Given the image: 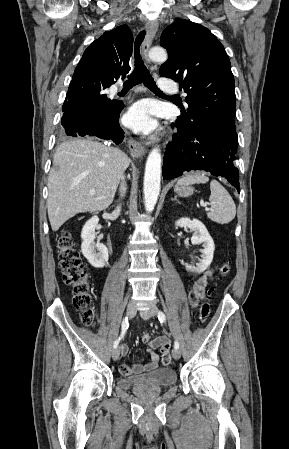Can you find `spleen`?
I'll use <instances>...</instances> for the list:
<instances>
[{
	"label": "spleen",
	"mask_w": 289,
	"mask_h": 449,
	"mask_svg": "<svg viewBox=\"0 0 289 449\" xmlns=\"http://www.w3.org/2000/svg\"><path fill=\"white\" fill-rule=\"evenodd\" d=\"M208 181L209 178L203 173H192L179 179L177 184H204ZM210 190L211 195L209 197V201L211 208L210 211L207 212L208 218L219 224H227L231 222L236 215V206L232 197L228 191L214 179L210 182Z\"/></svg>",
	"instance_id": "spleen-1"
}]
</instances>
